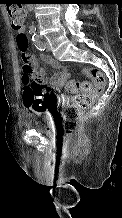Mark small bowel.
Returning <instances> with one entry per match:
<instances>
[{
  "mask_svg": "<svg viewBox=\"0 0 122 218\" xmlns=\"http://www.w3.org/2000/svg\"><path fill=\"white\" fill-rule=\"evenodd\" d=\"M21 32L25 33L24 27L21 29ZM42 59H43V62L45 65L51 66L52 68L55 69L56 72L52 75V77L49 80H45L44 78L36 77L35 83L38 85L44 86L45 88L48 85L54 91H60L61 88L63 87L64 83L71 76L69 69L62 67L56 60H54L50 56L43 55ZM28 63L30 64V67H31V74L34 76H37L39 73L37 60L33 56L29 55L28 56ZM45 96H46L45 91L38 92L36 94V102L41 105V110H42L43 106L46 105ZM61 99L64 101L68 100V98L64 95L61 96Z\"/></svg>",
  "mask_w": 122,
  "mask_h": 218,
  "instance_id": "c3829d8e",
  "label": "small bowel"
}]
</instances>
